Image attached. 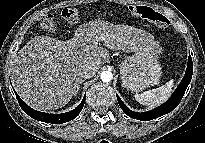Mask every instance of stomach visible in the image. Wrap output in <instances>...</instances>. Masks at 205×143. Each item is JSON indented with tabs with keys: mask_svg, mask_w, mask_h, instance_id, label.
<instances>
[{
	"mask_svg": "<svg viewBox=\"0 0 205 143\" xmlns=\"http://www.w3.org/2000/svg\"><path fill=\"white\" fill-rule=\"evenodd\" d=\"M162 67L154 48L140 50L126 58L120 65L122 85L139 92L159 83Z\"/></svg>",
	"mask_w": 205,
	"mask_h": 143,
	"instance_id": "1",
	"label": "stomach"
}]
</instances>
